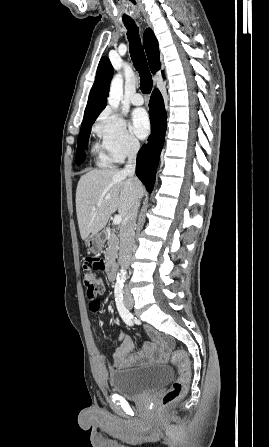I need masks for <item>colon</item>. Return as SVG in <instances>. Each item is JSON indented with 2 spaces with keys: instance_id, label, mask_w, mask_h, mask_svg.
I'll return each instance as SVG.
<instances>
[{
  "instance_id": "colon-1",
  "label": "colon",
  "mask_w": 269,
  "mask_h": 447,
  "mask_svg": "<svg viewBox=\"0 0 269 447\" xmlns=\"http://www.w3.org/2000/svg\"><path fill=\"white\" fill-rule=\"evenodd\" d=\"M104 259L99 257L98 253H87L82 264L83 271H102ZM83 286L85 288V295L92 299L91 306L96 308L100 298L98 297L104 290V282L98 278L93 272H84ZM166 353L169 356V362L178 367V376L171 384L170 388L166 390L161 397V404L163 406H170L174 404L179 397H181L187 390L189 381L191 379V362L182 349H170L171 342H166Z\"/></svg>"
}]
</instances>
